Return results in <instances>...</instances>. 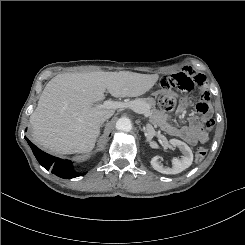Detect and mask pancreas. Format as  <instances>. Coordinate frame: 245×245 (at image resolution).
I'll return each mask as SVG.
<instances>
[{
  "label": "pancreas",
  "mask_w": 245,
  "mask_h": 245,
  "mask_svg": "<svg viewBox=\"0 0 245 245\" xmlns=\"http://www.w3.org/2000/svg\"><path fill=\"white\" fill-rule=\"evenodd\" d=\"M129 102L136 104L139 112H142L146 107H148L149 110L155 107V100L153 98H137Z\"/></svg>",
  "instance_id": "1"
}]
</instances>
